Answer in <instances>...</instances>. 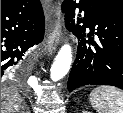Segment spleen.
Wrapping results in <instances>:
<instances>
[{"label": "spleen", "instance_id": "obj_1", "mask_svg": "<svg viewBox=\"0 0 123 113\" xmlns=\"http://www.w3.org/2000/svg\"><path fill=\"white\" fill-rule=\"evenodd\" d=\"M90 102L98 113H123V91L116 87H97L90 93Z\"/></svg>", "mask_w": 123, "mask_h": 113}]
</instances>
